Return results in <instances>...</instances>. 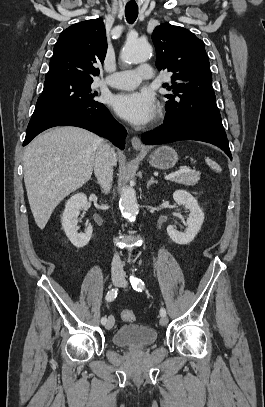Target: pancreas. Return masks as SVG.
Returning <instances> with one entry per match:
<instances>
[{"label":"pancreas","mask_w":265,"mask_h":407,"mask_svg":"<svg viewBox=\"0 0 265 407\" xmlns=\"http://www.w3.org/2000/svg\"><path fill=\"white\" fill-rule=\"evenodd\" d=\"M200 175L199 172L180 174L172 178V181L186 186H194L200 180Z\"/></svg>","instance_id":"pancreas-1"}]
</instances>
